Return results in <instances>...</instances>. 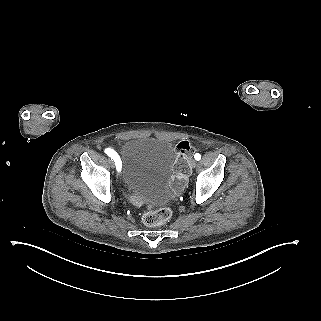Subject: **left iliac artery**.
Here are the masks:
<instances>
[{"mask_svg": "<svg viewBox=\"0 0 321 321\" xmlns=\"http://www.w3.org/2000/svg\"><path fill=\"white\" fill-rule=\"evenodd\" d=\"M194 158H195L196 160H200V159H201V155H200L199 153H196L195 156H194Z\"/></svg>", "mask_w": 321, "mask_h": 321, "instance_id": "44dca946", "label": "left iliac artery"}]
</instances>
